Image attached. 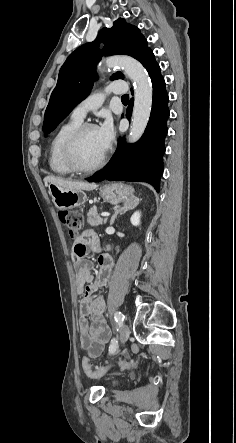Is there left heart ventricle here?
Instances as JSON below:
<instances>
[{
	"label": "left heart ventricle",
	"instance_id": "left-heart-ventricle-1",
	"mask_svg": "<svg viewBox=\"0 0 236 443\" xmlns=\"http://www.w3.org/2000/svg\"><path fill=\"white\" fill-rule=\"evenodd\" d=\"M104 147L97 128L89 129L80 138L76 149L75 157L83 167L93 166L104 154Z\"/></svg>",
	"mask_w": 236,
	"mask_h": 443
}]
</instances>
